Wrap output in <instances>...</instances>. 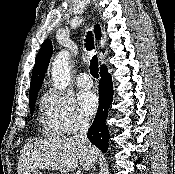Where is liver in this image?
<instances>
[{
	"label": "liver",
	"mask_w": 175,
	"mask_h": 174,
	"mask_svg": "<svg viewBox=\"0 0 175 174\" xmlns=\"http://www.w3.org/2000/svg\"><path fill=\"white\" fill-rule=\"evenodd\" d=\"M96 149V159H97ZM88 171L92 167L93 157L85 146L77 143L73 137H49L27 143L23 146L18 162V174L31 169H48L64 173L78 167Z\"/></svg>",
	"instance_id": "6515ba94"
}]
</instances>
